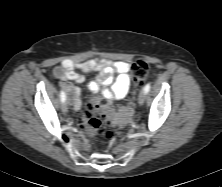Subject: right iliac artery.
I'll return each mask as SVG.
<instances>
[{
	"label": "right iliac artery",
	"mask_w": 222,
	"mask_h": 187,
	"mask_svg": "<svg viewBox=\"0 0 222 187\" xmlns=\"http://www.w3.org/2000/svg\"><path fill=\"white\" fill-rule=\"evenodd\" d=\"M60 98L62 102H65L66 100V94L63 90L60 91Z\"/></svg>",
	"instance_id": "82829eb1"
}]
</instances>
